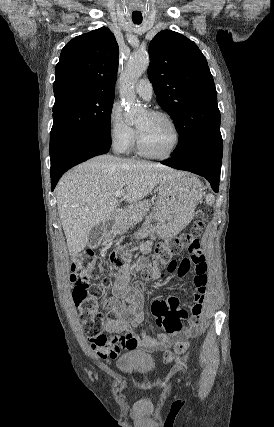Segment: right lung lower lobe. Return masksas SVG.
I'll return each mask as SVG.
<instances>
[{
	"instance_id": "obj_1",
	"label": "right lung lower lobe",
	"mask_w": 274,
	"mask_h": 427,
	"mask_svg": "<svg viewBox=\"0 0 274 427\" xmlns=\"http://www.w3.org/2000/svg\"><path fill=\"white\" fill-rule=\"evenodd\" d=\"M111 137L86 136L60 148L51 158V189L54 190L60 177L73 166L96 155L107 153Z\"/></svg>"
}]
</instances>
